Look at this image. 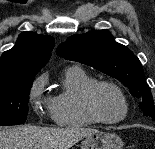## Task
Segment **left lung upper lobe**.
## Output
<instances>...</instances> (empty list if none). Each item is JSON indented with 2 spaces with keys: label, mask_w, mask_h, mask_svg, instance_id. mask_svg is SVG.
Segmentation results:
<instances>
[{
  "label": "left lung upper lobe",
  "mask_w": 155,
  "mask_h": 149,
  "mask_svg": "<svg viewBox=\"0 0 155 149\" xmlns=\"http://www.w3.org/2000/svg\"><path fill=\"white\" fill-rule=\"evenodd\" d=\"M56 53L121 81L140 99L139 107L144 116L155 121V105L141 62L130 49L117 43L108 30L73 35L58 46Z\"/></svg>",
  "instance_id": "obj_1"
}]
</instances>
